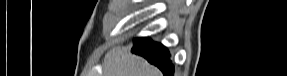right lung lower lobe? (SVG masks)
<instances>
[{
    "instance_id": "98d812e1",
    "label": "right lung lower lobe",
    "mask_w": 287,
    "mask_h": 76,
    "mask_svg": "<svg viewBox=\"0 0 287 76\" xmlns=\"http://www.w3.org/2000/svg\"><path fill=\"white\" fill-rule=\"evenodd\" d=\"M132 52L143 56L151 64L156 65L165 76L173 75L174 66L169 59L170 54L162 44L153 42L150 38H136Z\"/></svg>"
}]
</instances>
